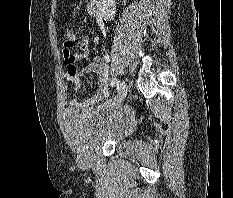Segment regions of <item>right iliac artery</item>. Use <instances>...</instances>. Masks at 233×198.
<instances>
[{"label":"right iliac artery","mask_w":233,"mask_h":198,"mask_svg":"<svg viewBox=\"0 0 233 198\" xmlns=\"http://www.w3.org/2000/svg\"><path fill=\"white\" fill-rule=\"evenodd\" d=\"M112 83H113L114 85H116V88H117V90L119 91L120 88H121V83H120V81H119L118 79L114 78V79L112 80Z\"/></svg>","instance_id":"82829eb1"}]
</instances>
